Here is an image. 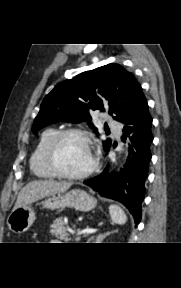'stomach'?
I'll return each mask as SVG.
<instances>
[{
  "label": "stomach",
  "mask_w": 181,
  "mask_h": 288,
  "mask_svg": "<svg viewBox=\"0 0 181 288\" xmlns=\"http://www.w3.org/2000/svg\"><path fill=\"white\" fill-rule=\"evenodd\" d=\"M48 209H64L71 207L79 211L87 212L95 208L97 200L87 192L80 189H73L66 193L52 195L42 202ZM35 220V213L30 205L19 207L13 210L7 218L9 229L15 233L27 231Z\"/></svg>",
  "instance_id": "0dacf381"
}]
</instances>
